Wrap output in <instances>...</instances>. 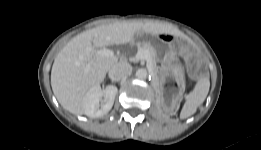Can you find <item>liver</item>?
Returning a JSON list of instances; mask_svg holds the SVG:
<instances>
[{
	"label": "liver",
	"mask_w": 261,
	"mask_h": 150,
	"mask_svg": "<svg viewBox=\"0 0 261 150\" xmlns=\"http://www.w3.org/2000/svg\"><path fill=\"white\" fill-rule=\"evenodd\" d=\"M156 36L184 34L170 25L156 22L123 21L98 26L73 37L56 56L51 70V86L55 97L67 111L85 114L86 101L93 88L103 82L106 73L118 63L116 56L104 57L89 51V47L126 44L135 35Z\"/></svg>",
	"instance_id": "obj_1"
}]
</instances>
